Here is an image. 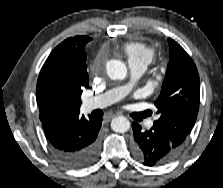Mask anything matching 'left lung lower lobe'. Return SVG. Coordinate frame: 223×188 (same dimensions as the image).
<instances>
[{"instance_id":"0a47b994","label":"left lung lower lobe","mask_w":223,"mask_h":188,"mask_svg":"<svg viewBox=\"0 0 223 188\" xmlns=\"http://www.w3.org/2000/svg\"><path fill=\"white\" fill-rule=\"evenodd\" d=\"M134 133L133 154L146 166L163 165L173 160L181 146L167 135L162 127L154 124L144 131L136 122L132 124Z\"/></svg>"}]
</instances>
